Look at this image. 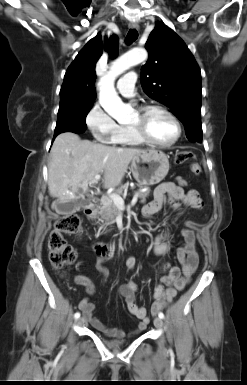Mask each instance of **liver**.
<instances>
[{
	"label": "liver",
	"mask_w": 247,
	"mask_h": 385,
	"mask_svg": "<svg viewBox=\"0 0 247 385\" xmlns=\"http://www.w3.org/2000/svg\"><path fill=\"white\" fill-rule=\"evenodd\" d=\"M142 151L81 140L73 132L59 134L53 143L48 167L49 194L57 198L52 208H56L57 202L80 199L79 190L88 191L100 173H104V188L118 186L133 157Z\"/></svg>",
	"instance_id": "obj_1"
}]
</instances>
